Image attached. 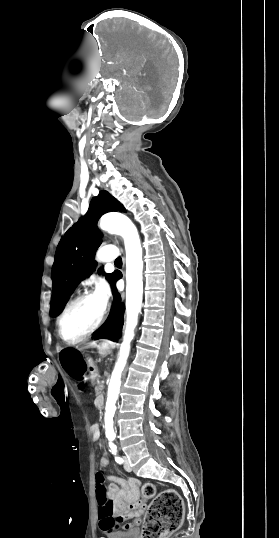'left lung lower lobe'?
Instances as JSON below:
<instances>
[{"instance_id": "0a47b994", "label": "left lung lower lobe", "mask_w": 279, "mask_h": 538, "mask_svg": "<svg viewBox=\"0 0 279 538\" xmlns=\"http://www.w3.org/2000/svg\"><path fill=\"white\" fill-rule=\"evenodd\" d=\"M113 292H114L113 308L106 322L104 323V325L94 333L92 337L93 339H101V338H106V337L116 338V337L121 336L125 307L123 304H121V298L115 288V285L113 286Z\"/></svg>"}]
</instances>
